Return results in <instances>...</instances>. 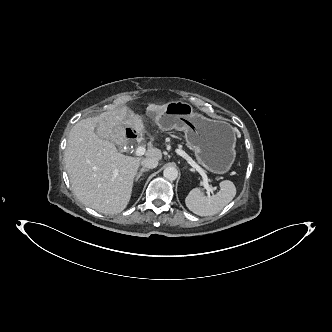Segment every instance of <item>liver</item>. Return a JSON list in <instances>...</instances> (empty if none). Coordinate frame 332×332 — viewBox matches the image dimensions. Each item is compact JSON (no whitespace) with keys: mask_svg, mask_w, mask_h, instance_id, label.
<instances>
[{"mask_svg":"<svg viewBox=\"0 0 332 332\" xmlns=\"http://www.w3.org/2000/svg\"><path fill=\"white\" fill-rule=\"evenodd\" d=\"M166 105L150 104L146 112L161 113ZM125 115L126 109L122 108L77 122L65 149V168L75 195L84 205L103 214H117L126 208L143 159L121 154L108 139L115 128L135 127L140 123L134 117L122 119ZM98 124L106 138L94 132ZM145 157L160 161L162 152L150 146Z\"/></svg>","mask_w":332,"mask_h":332,"instance_id":"1","label":"liver"}]
</instances>
